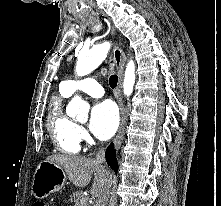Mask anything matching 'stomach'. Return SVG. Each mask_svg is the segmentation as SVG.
<instances>
[{
	"mask_svg": "<svg viewBox=\"0 0 221 206\" xmlns=\"http://www.w3.org/2000/svg\"><path fill=\"white\" fill-rule=\"evenodd\" d=\"M67 180L65 171L58 165L50 162H41L33 176L32 194L37 199H42L60 191Z\"/></svg>",
	"mask_w": 221,
	"mask_h": 206,
	"instance_id": "stomach-1",
	"label": "stomach"
}]
</instances>
